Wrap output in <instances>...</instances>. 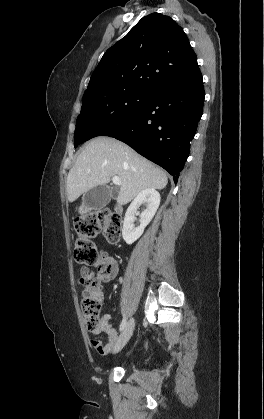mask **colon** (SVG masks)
<instances>
[{
  "label": "colon",
  "mask_w": 264,
  "mask_h": 419,
  "mask_svg": "<svg viewBox=\"0 0 264 419\" xmlns=\"http://www.w3.org/2000/svg\"><path fill=\"white\" fill-rule=\"evenodd\" d=\"M74 228L77 234L73 252L74 259L81 264L93 265L99 257L93 239L102 234L108 243H117L121 236L122 221L117 214L97 211L76 218ZM81 308L87 328L90 331L99 330L102 294L90 284L83 291Z\"/></svg>",
  "instance_id": "obj_1"
}]
</instances>
